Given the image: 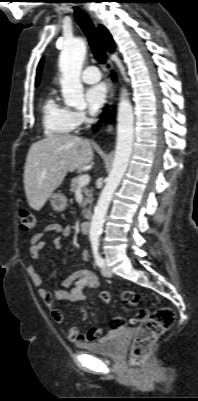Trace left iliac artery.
<instances>
[{
	"label": "left iliac artery",
	"instance_id": "left-iliac-artery-1",
	"mask_svg": "<svg viewBox=\"0 0 198 401\" xmlns=\"http://www.w3.org/2000/svg\"><path fill=\"white\" fill-rule=\"evenodd\" d=\"M91 243H92V251H93V255H94L96 264L99 267L104 266V260L102 259V257L99 254V240L92 239Z\"/></svg>",
	"mask_w": 198,
	"mask_h": 401
}]
</instances>
